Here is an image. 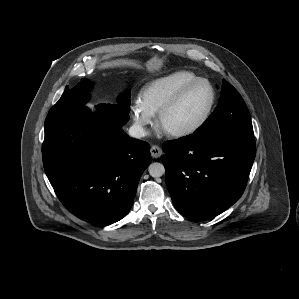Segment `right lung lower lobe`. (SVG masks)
Listing matches in <instances>:
<instances>
[{
  "label": "right lung lower lobe",
  "instance_id": "right-lung-lower-lobe-1",
  "mask_svg": "<svg viewBox=\"0 0 299 299\" xmlns=\"http://www.w3.org/2000/svg\"><path fill=\"white\" fill-rule=\"evenodd\" d=\"M86 106L47 115L42 156L45 173L65 208L90 223L109 225L130 210L138 182L151 162L150 146L130 138L119 105ZM78 130L84 137L76 140Z\"/></svg>",
  "mask_w": 299,
  "mask_h": 299
}]
</instances>
